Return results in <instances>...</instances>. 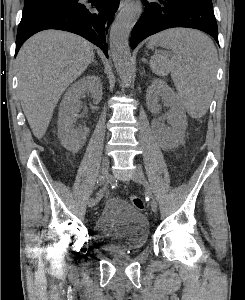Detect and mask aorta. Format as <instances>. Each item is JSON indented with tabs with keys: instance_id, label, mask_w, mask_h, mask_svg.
I'll return each instance as SVG.
<instances>
[{
	"instance_id": "1",
	"label": "aorta",
	"mask_w": 245,
	"mask_h": 300,
	"mask_svg": "<svg viewBox=\"0 0 245 300\" xmlns=\"http://www.w3.org/2000/svg\"><path fill=\"white\" fill-rule=\"evenodd\" d=\"M142 12L140 1H134L124 7L116 17L110 31V51L114 66L120 78L128 82L131 79V53L129 35Z\"/></svg>"
}]
</instances>
